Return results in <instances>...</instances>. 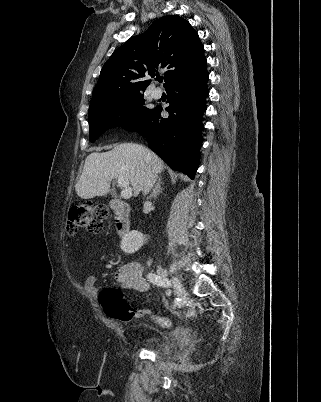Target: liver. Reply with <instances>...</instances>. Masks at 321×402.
Masks as SVG:
<instances>
[{"label": "liver", "instance_id": "6515ba94", "mask_svg": "<svg viewBox=\"0 0 321 402\" xmlns=\"http://www.w3.org/2000/svg\"><path fill=\"white\" fill-rule=\"evenodd\" d=\"M148 169L161 173L164 169L162 159L143 145L123 143L107 152L90 153L75 190L79 197L91 199L107 194L113 179L126 178L137 196Z\"/></svg>", "mask_w": 321, "mask_h": 402}]
</instances>
